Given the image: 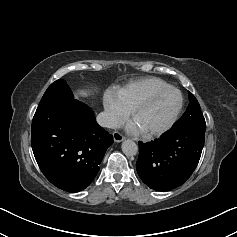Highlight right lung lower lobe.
<instances>
[{"label": "right lung lower lobe", "mask_w": 237, "mask_h": 237, "mask_svg": "<svg viewBox=\"0 0 237 237\" xmlns=\"http://www.w3.org/2000/svg\"><path fill=\"white\" fill-rule=\"evenodd\" d=\"M112 143L113 136L96 123L89 107L73 98L65 81L48 87L33 117L31 145L53 185L68 192L85 189Z\"/></svg>", "instance_id": "98d812e1"}]
</instances>
